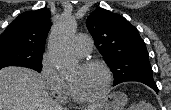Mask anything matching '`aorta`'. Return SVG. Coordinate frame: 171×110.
Returning a JSON list of instances; mask_svg holds the SVG:
<instances>
[{"instance_id":"aorta-1","label":"aorta","mask_w":171,"mask_h":110,"mask_svg":"<svg viewBox=\"0 0 171 110\" xmlns=\"http://www.w3.org/2000/svg\"><path fill=\"white\" fill-rule=\"evenodd\" d=\"M76 29V22L71 17H63L48 42V52L52 63L61 75L71 73L77 61L71 52V38Z\"/></svg>"}]
</instances>
